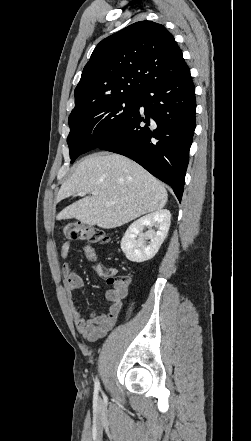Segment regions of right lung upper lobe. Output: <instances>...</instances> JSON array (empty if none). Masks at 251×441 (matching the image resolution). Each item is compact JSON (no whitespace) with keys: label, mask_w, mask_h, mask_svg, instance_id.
<instances>
[{"label":"right lung upper lobe","mask_w":251,"mask_h":441,"mask_svg":"<svg viewBox=\"0 0 251 441\" xmlns=\"http://www.w3.org/2000/svg\"><path fill=\"white\" fill-rule=\"evenodd\" d=\"M185 66L180 48L163 25L136 22L96 46L75 89L71 114L99 99L141 95Z\"/></svg>","instance_id":"cb5924a9"}]
</instances>
